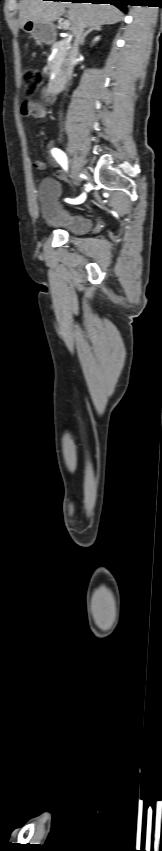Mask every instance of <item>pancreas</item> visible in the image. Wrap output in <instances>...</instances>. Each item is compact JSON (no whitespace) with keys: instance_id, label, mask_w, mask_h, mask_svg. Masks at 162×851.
I'll return each instance as SVG.
<instances>
[{"instance_id":"1","label":"pancreas","mask_w":162,"mask_h":851,"mask_svg":"<svg viewBox=\"0 0 162 851\" xmlns=\"http://www.w3.org/2000/svg\"><path fill=\"white\" fill-rule=\"evenodd\" d=\"M52 51H56L52 61L47 65L46 69L50 73L59 74L63 65L67 62L68 56L71 54L65 40L53 44Z\"/></svg>"}]
</instances>
